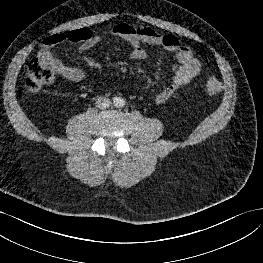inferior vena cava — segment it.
Instances as JSON below:
<instances>
[{
  "label": "inferior vena cava",
  "mask_w": 263,
  "mask_h": 263,
  "mask_svg": "<svg viewBox=\"0 0 263 263\" xmlns=\"http://www.w3.org/2000/svg\"><path fill=\"white\" fill-rule=\"evenodd\" d=\"M111 105V101L110 99L106 98V97H99L96 100V107L100 108V109H106L109 108Z\"/></svg>",
  "instance_id": "inferior-vena-cava-1"
}]
</instances>
